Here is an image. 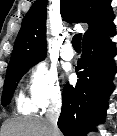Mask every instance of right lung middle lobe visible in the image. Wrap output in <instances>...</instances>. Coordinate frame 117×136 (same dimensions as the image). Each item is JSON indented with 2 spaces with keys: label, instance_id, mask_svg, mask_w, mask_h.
I'll return each instance as SVG.
<instances>
[{
  "label": "right lung middle lobe",
  "instance_id": "dd1d6c3e",
  "mask_svg": "<svg viewBox=\"0 0 117 136\" xmlns=\"http://www.w3.org/2000/svg\"><path fill=\"white\" fill-rule=\"evenodd\" d=\"M43 59L44 58L22 60L8 66L1 99L2 106H6L10 103L13 92L22 76L30 69V67Z\"/></svg>",
  "mask_w": 117,
  "mask_h": 136
}]
</instances>
